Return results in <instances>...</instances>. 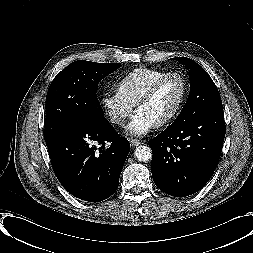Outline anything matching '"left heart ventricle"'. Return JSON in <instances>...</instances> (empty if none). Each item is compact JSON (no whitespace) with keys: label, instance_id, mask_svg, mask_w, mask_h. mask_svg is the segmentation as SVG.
Returning <instances> with one entry per match:
<instances>
[{"label":"left heart ventricle","instance_id":"left-heart-ventricle-1","mask_svg":"<svg viewBox=\"0 0 253 253\" xmlns=\"http://www.w3.org/2000/svg\"><path fill=\"white\" fill-rule=\"evenodd\" d=\"M181 95L180 80L177 77H169L160 84L153 97L137 109V112L143 113L157 124L177 107Z\"/></svg>","mask_w":253,"mask_h":253}]
</instances>
